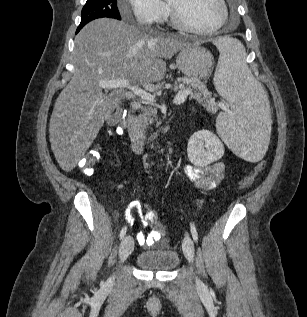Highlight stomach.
I'll return each instance as SVG.
<instances>
[{
	"label": "stomach",
	"mask_w": 307,
	"mask_h": 317,
	"mask_svg": "<svg viewBox=\"0 0 307 317\" xmlns=\"http://www.w3.org/2000/svg\"><path fill=\"white\" fill-rule=\"evenodd\" d=\"M178 69L190 78H207L213 66L211 53L198 44L184 47L176 58Z\"/></svg>",
	"instance_id": "0dacf381"
}]
</instances>
